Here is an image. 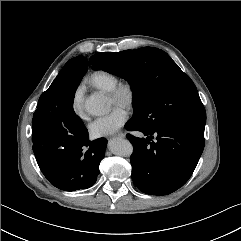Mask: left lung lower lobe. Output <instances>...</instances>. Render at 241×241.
I'll return each instance as SVG.
<instances>
[{"label":"left lung lower lobe","instance_id":"left-lung-lower-lobe-1","mask_svg":"<svg viewBox=\"0 0 241 241\" xmlns=\"http://www.w3.org/2000/svg\"><path fill=\"white\" fill-rule=\"evenodd\" d=\"M125 128L147 136L144 139L127 135L134 148L130 157L132 179L139 190L167 195L188 181L204 149V126L169 121L149 130L131 118ZM153 134L157 136L155 142Z\"/></svg>","mask_w":241,"mask_h":241}]
</instances>
